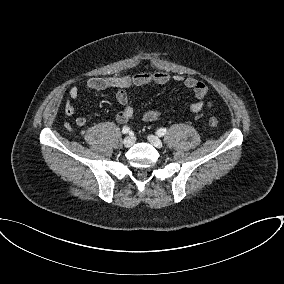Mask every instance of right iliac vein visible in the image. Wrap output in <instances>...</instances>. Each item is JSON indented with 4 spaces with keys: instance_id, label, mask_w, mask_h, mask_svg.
Listing matches in <instances>:
<instances>
[{
    "instance_id": "obj_1",
    "label": "right iliac vein",
    "mask_w": 284,
    "mask_h": 284,
    "mask_svg": "<svg viewBox=\"0 0 284 284\" xmlns=\"http://www.w3.org/2000/svg\"><path fill=\"white\" fill-rule=\"evenodd\" d=\"M135 142V138L133 136H128L124 139L123 144L125 147H131Z\"/></svg>"
}]
</instances>
